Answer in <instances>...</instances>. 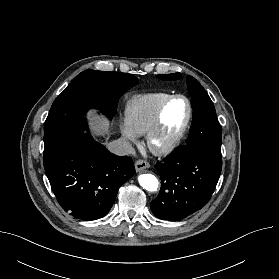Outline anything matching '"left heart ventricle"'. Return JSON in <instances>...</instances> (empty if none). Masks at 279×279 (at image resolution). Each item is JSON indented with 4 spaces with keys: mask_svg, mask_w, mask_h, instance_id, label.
Segmentation results:
<instances>
[{
    "mask_svg": "<svg viewBox=\"0 0 279 279\" xmlns=\"http://www.w3.org/2000/svg\"><path fill=\"white\" fill-rule=\"evenodd\" d=\"M187 116V105L182 99L172 101L165 109L163 125L158 137L163 142L174 135L183 125Z\"/></svg>",
    "mask_w": 279,
    "mask_h": 279,
    "instance_id": "1",
    "label": "left heart ventricle"
}]
</instances>
